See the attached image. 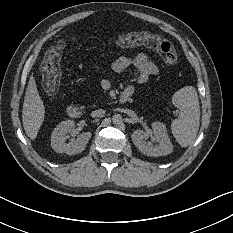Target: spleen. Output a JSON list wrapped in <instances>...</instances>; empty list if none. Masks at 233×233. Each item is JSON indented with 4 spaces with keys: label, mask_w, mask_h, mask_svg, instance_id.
<instances>
[{
    "label": "spleen",
    "mask_w": 233,
    "mask_h": 233,
    "mask_svg": "<svg viewBox=\"0 0 233 233\" xmlns=\"http://www.w3.org/2000/svg\"><path fill=\"white\" fill-rule=\"evenodd\" d=\"M174 103L181 114L178 119L172 121V134L181 147L192 146L200 125V106L196 89L193 86L181 88Z\"/></svg>",
    "instance_id": "obj_1"
}]
</instances>
